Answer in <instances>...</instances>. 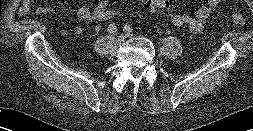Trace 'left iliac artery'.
<instances>
[{
	"instance_id": "left-iliac-artery-1",
	"label": "left iliac artery",
	"mask_w": 253,
	"mask_h": 131,
	"mask_svg": "<svg viewBox=\"0 0 253 131\" xmlns=\"http://www.w3.org/2000/svg\"><path fill=\"white\" fill-rule=\"evenodd\" d=\"M123 30H124L125 33H131L133 31V27H132V25L127 24V25L124 26Z\"/></svg>"
}]
</instances>
